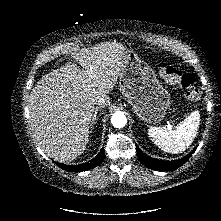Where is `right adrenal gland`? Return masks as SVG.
Returning a JSON list of instances; mask_svg holds the SVG:
<instances>
[{
	"label": "right adrenal gland",
	"instance_id": "2a0ac1e0",
	"mask_svg": "<svg viewBox=\"0 0 221 221\" xmlns=\"http://www.w3.org/2000/svg\"><path fill=\"white\" fill-rule=\"evenodd\" d=\"M101 108H102L101 106L95 108V112H94V115H93V117H92L90 126H92L93 124H96V121H97V113H98V111H99Z\"/></svg>",
	"mask_w": 221,
	"mask_h": 221
}]
</instances>
